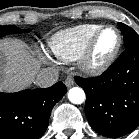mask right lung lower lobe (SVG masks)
Returning a JSON list of instances; mask_svg holds the SVG:
<instances>
[{
    "instance_id": "right-lung-lower-lobe-1",
    "label": "right lung lower lobe",
    "mask_w": 139,
    "mask_h": 139,
    "mask_svg": "<svg viewBox=\"0 0 139 139\" xmlns=\"http://www.w3.org/2000/svg\"><path fill=\"white\" fill-rule=\"evenodd\" d=\"M57 82L49 88L0 92V139H38L46 131L51 110L65 95Z\"/></svg>"
}]
</instances>
